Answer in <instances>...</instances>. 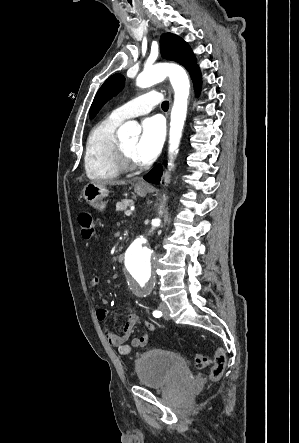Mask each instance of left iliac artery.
I'll return each mask as SVG.
<instances>
[{"instance_id":"left-iliac-artery-1","label":"left iliac artery","mask_w":299,"mask_h":443,"mask_svg":"<svg viewBox=\"0 0 299 443\" xmlns=\"http://www.w3.org/2000/svg\"><path fill=\"white\" fill-rule=\"evenodd\" d=\"M153 316L156 317V318H159V317L162 316V312L159 311V310H154L153 311Z\"/></svg>"}]
</instances>
